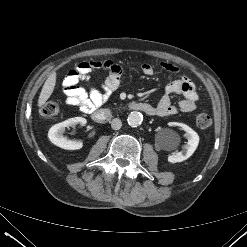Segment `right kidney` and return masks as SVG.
Segmentation results:
<instances>
[{
  "instance_id": "1",
  "label": "right kidney",
  "mask_w": 247,
  "mask_h": 247,
  "mask_svg": "<svg viewBox=\"0 0 247 247\" xmlns=\"http://www.w3.org/2000/svg\"><path fill=\"white\" fill-rule=\"evenodd\" d=\"M87 120L83 117H74L52 126L48 132L49 140L56 146L66 150L81 149L83 143L79 140H70L63 136L66 127L77 124L85 125Z\"/></svg>"
}]
</instances>
